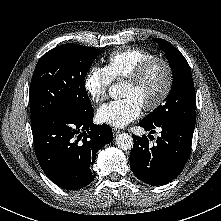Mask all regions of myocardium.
Here are the masks:
<instances>
[{"mask_svg": "<svg viewBox=\"0 0 221 221\" xmlns=\"http://www.w3.org/2000/svg\"><path fill=\"white\" fill-rule=\"evenodd\" d=\"M157 63L162 64L165 67L167 80L160 96L152 104L143 106L144 110L148 112H152L160 108L164 104L166 99L168 98L171 92L172 86H173V81H174V71H173L172 65L165 58L153 57L145 61L144 63H142L133 72V74L128 79H126V82L131 85L139 84L144 79V77L146 76L148 71L151 69V67Z\"/></svg>", "mask_w": 221, "mask_h": 221, "instance_id": "1", "label": "myocardium"}]
</instances>
